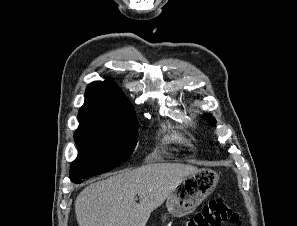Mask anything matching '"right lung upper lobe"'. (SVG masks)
I'll return each instance as SVG.
<instances>
[{"mask_svg":"<svg viewBox=\"0 0 297 226\" xmlns=\"http://www.w3.org/2000/svg\"><path fill=\"white\" fill-rule=\"evenodd\" d=\"M133 109L128 99L113 81H95L85 92V103L80 108V125L115 126L120 115Z\"/></svg>","mask_w":297,"mask_h":226,"instance_id":"1","label":"right lung upper lobe"}]
</instances>
